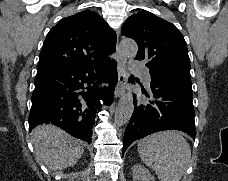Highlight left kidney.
Masks as SVG:
<instances>
[{"label": "left kidney", "instance_id": "left-kidney-1", "mask_svg": "<svg viewBox=\"0 0 228 181\" xmlns=\"http://www.w3.org/2000/svg\"><path fill=\"white\" fill-rule=\"evenodd\" d=\"M133 181H155L154 177H152L151 173L147 171L144 165H134L133 167Z\"/></svg>", "mask_w": 228, "mask_h": 181}]
</instances>
